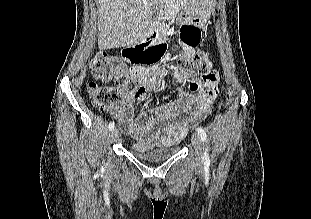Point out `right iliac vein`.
<instances>
[{"label":"right iliac vein","mask_w":311,"mask_h":219,"mask_svg":"<svg viewBox=\"0 0 311 219\" xmlns=\"http://www.w3.org/2000/svg\"><path fill=\"white\" fill-rule=\"evenodd\" d=\"M111 139L114 142H117L119 139V131L117 128H113L111 131Z\"/></svg>","instance_id":"right-iliac-vein-1"}]
</instances>
